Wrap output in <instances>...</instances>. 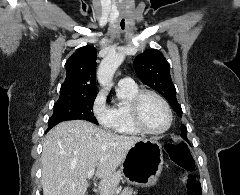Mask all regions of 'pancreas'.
<instances>
[{"label": "pancreas", "mask_w": 240, "mask_h": 195, "mask_svg": "<svg viewBox=\"0 0 240 195\" xmlns=\"http://www.w3.org/2000/svg\"><path fill=\"white\" fill-rule=\"evenodd\" d=\"M113 193H115V191H112L111 195H113ZM135 193H137V191H134L133 187H125L120 195H135Z\"/></svg>", "instance_id": "cf45deb5"}]
</instances>
